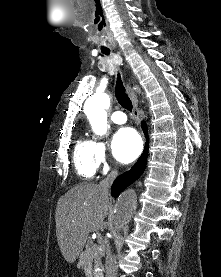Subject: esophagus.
<instances>
[{
    "label": "esophagus",
    "mask_w": 221,
    "mask_h": 277,
    "mask_svg": "<svg viewBox=\"0 0 221 277\" xmlns=\"http://www.w3.org/2000/svg\"><path fill=\"white\" fill-rule=\"evenodd\" d=\"M127 94L129 95L132 104H133V110L132 114L137 120V122L140 124V114H139V109H138V100L135 91L131 87L130 82L127 83Z\"/></svg>",
    "instance_id": "obj_1"
}]
</instances>
